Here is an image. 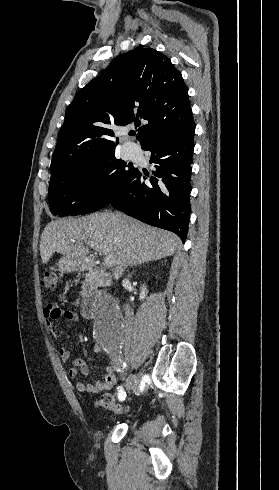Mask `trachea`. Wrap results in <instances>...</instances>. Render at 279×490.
Masks as SVG:
<instances>
[{
	"label": "trachea",
	"mask_w": 279,
	"mask_h": 490,
	"mask_svg": "<svg viewBox=\"0 0 279 490\" xmlns=\"http://www.w3.org/2000/svg\"><path fill=\"white\" fill-rule=\"evenodd\" d=\"M131 135H135V132H130Z\"/></svg>",
	"instance_id": "3493384b"
}]
</instances>
